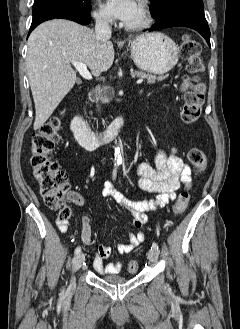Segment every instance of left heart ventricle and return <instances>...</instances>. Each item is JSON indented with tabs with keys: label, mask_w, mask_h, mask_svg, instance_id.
I'll list each match as a JSON object with an SVG mask.
<instances>
[{
	"label": "left heart ventricle",
	"mask_w": 240,
	"mask_h": 329,
	"mask_svg": "<svg viewBox=\"0 0 240 329\" xmlns=\"http://www.w3.org/2000/svg\"><path fill=\"white\" fill-rule=\"evenodd\" d=\"M141 19V10H140V7L138 5L137 7V10H136V13L134 14V16L128 20L127 22H125L126 24H134V23H137L139 22Z\"/></svg>",
	"instance_id": "left-heart-ventricle-1"
}]
</instances>
